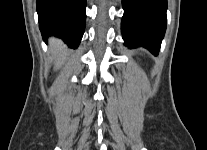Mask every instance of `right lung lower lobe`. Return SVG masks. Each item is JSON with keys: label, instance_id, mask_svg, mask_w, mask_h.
<instances>
[{"label": "right lung lower lobe", "instance_id": "1", "mask_svg": "<svg viewBox=\"0 0 207 150\" xmlns=\"http://www.w3.org/2000/svg\"><path fill=\"white\" fill-rule=\"evenodd\" d=\"M36 3L43 38L54 35L77 48L85 30L86 0H37Z\"/></svg>", "mask_w": 207, "mask_h": 150}]
</instances>
